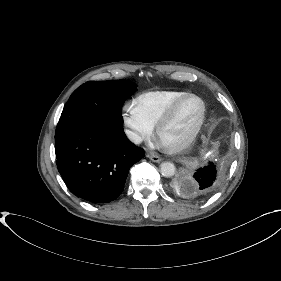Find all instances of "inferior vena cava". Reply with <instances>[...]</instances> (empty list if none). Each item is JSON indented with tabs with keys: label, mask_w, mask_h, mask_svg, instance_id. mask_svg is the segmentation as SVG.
I'll list each match as a JSON object with an SVG mask.
<instances>
[{
	"label": "inferior vena cava",
	"mask_w": 281,
	"mask_h": 281,
	"mask_svg": "<svg viewBox=\"0 0 281 281\" xmlns=\"http://www.w3.org/2000/svg\"><path fill=\"white\" fill-rule=\"evenodd\" d=\"M125 134L128 137V139L130 141H132L133 143H135V144H140L142 142L141 137L137 133H135L133 131H130V130L126 129L125 130Z\"/></svg>",
	"instance_id": "obj_1"
}]
</instances>
